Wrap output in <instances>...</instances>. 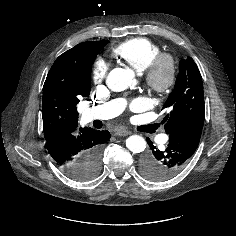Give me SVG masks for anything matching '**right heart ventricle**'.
Wrapping results in <instances>:
<instances>
[{
    "mask_svg": "<svg viewBox=\"0 0 236 236\" xmlns=\"http://www.w3.org/2000/svg\"><path fill=\"white\" fill-rule=\"evenodd\" d=\"M162 52L160 45L146 37L128 39L112 49V55L137 71H143Z\"/></svg>",
    "mask_w": 236,
    "mask_h": 236,
    "instance_id": "obj_1",
    "label": "right heart ventricle"
}]
</instances>
